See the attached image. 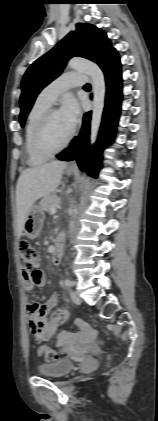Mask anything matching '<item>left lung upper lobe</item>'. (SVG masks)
<instances>
[{
	"mask_svg": "<svg viewBox=\"0 0 158 421\" xmlns=\"http://www.w3.org/2000/svg\"><path fill=\"white\" fill-rule=\"evenodd\" d=\"M76 27L75 31L70 32L26 71L21 86V113L19 116L21 126L24 125L36 96L60 75L68 59L80 56L100 65L115 51L102 30L87 23H79Z\"/></svg>",
	"mask_w": 158,
	"mask_h": 421,
	"instance_id": "left-lung-upper-lobe-1",
	"label": "left lung upper lobe"
}]
</instances>
